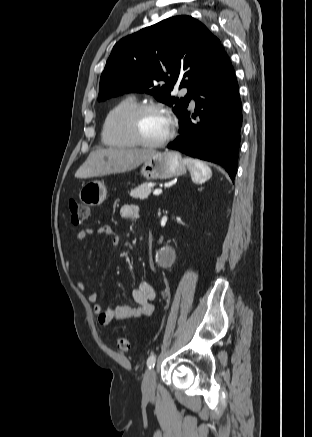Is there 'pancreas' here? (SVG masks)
Here are the masks:
<instances>
[{"instance_id": "pancreas-1", "label": "pancreas", "mask_w": 312, "mask_h": 437, "mask_svg": "<svg viewBox=\"0 0 312 437\" xmlns=\"http://www.w3.org/2000/svg\"><path fill=\"white\" fill-rule=\"evenodd\" d=\"M151 191H152V187L148 186L147 183H144L131 190L130 195L135 199L144 200L148 198Z\"/></svg>"}]
</instances>
